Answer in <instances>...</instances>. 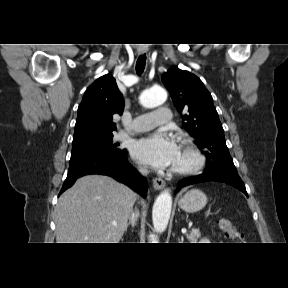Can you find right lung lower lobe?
Masks as SVG:
<instances>
[{
  "label": "right lung lower lobe",
  "mask_w": 288,
  "mask_h": 288,
  "mask_svg": "<svg viewBox=\"0 0 288 288\" xmlns=\"http://www.w3.org/2000/svg\"><path fill=\"white\" fill-rule=\"evenodd\" d=\"M87 174L111 176L143 197L147 195V181L128 163L126 150L119 156L96 155L70 163L67 178L59 195L71 187L79 177Z\"/></svg>",
  "instance_id": "1"
}]
</instances>
